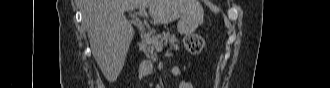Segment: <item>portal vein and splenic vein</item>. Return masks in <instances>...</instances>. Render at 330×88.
Wrapping results in <instances>:
<instances>
[{"instance_id":"1","label":"portal vein and splenic vein","mask_w":330,"mask_h":88,"mask_svg":"<svg viewBox=\"0 0 330 88\" xmlns=\"http://www.w3.org/2000/svg\"><path fill=\"white\" fill-rule=\"evenodd\" d=\"M139 14L142 15V16L145 15L146 14L145 9H140ZM155 48L157 49V51H161L163 49V45L160 44V43H156Z\"/></svg>"}]
</instances>
